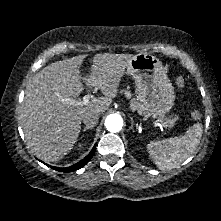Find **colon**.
Listing matches in <instances>:
<instances>
[{
  "mask_svg": "<svg viewBox=\"0 0 221 221\" xmlns=\"http://www.w3.org/2000/svg\"><path fill=\"white\" fill-rule=\"evenodd\" d=\"M176 85L178 86V87H184L185 86V80H184V78L183 77H177L176 78ZM191 115H192V118L193 119H199L200 117H201V112L199 111V110H193L192 112H191Z\"/></svg>",
  "mask_w": 221,
  "mask_h": 221,
  "instance_id": "1",
  "label": "colon"
}]
</instances>
